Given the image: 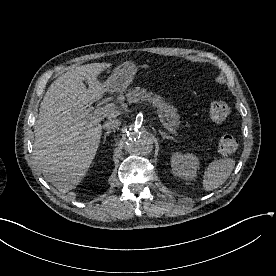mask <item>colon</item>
Masks as SVG:
<instances>
[{
	"label": "colon",
	"mask_w": 276,
	"mask_h": 276,
	"mask_svg": "<svg viewBox=\"0 0 276 276\" xmlns=\"http://www.w3.org/2000/svg\"><path fill=\"white\" fill-rule=\"evenodd\" d=\"M230 113V106L224 100H214L210 104L209 115L212 121L223 122ZM238 149V141L230 134H223L218 142V151L223 156H230Z\"/></svg>",
	"instance_id": "colon-1"
}]
</instances>
